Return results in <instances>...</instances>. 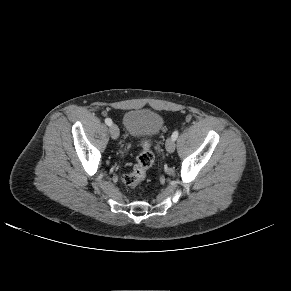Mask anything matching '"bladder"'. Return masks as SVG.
Segmentation results:
<instances>
[{"label": "bladder", "mask_w": 291, "mask_h": 291, "mask_svg": "<svg viewBox=\"0 0 291 291\" xmlns=\"http://www.w3.org/2000/svg\"><path fill=\"white\" fill-rule=\"evenodd\" d=\"M126 132L133 139H146L156 135L163 126V118L148 109L128 111L123 118Z\"/></svg>", "instance_id": "obj_1"}]
</instances>
